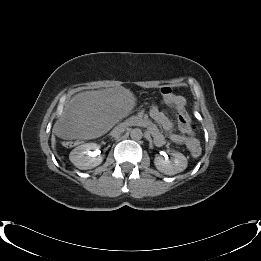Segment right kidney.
<instances>
[{"mask_svg":"<svg viewBox=\"0 0 261 261\" xmlns=\"http://www.w3.org/2000/svg\"><path fill=\"white\" fill-rule=\"evenodd\" d=\"M100 146L96 143L82 144L73 149L69 154L70 161L79 169L87 170L98 166L102 162Z\"/></svg>","mask_w":261,"mask_h":261,"instance_id":"obj_1","label":"right kidney"}]
</instances>
